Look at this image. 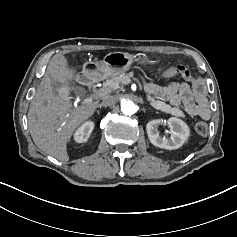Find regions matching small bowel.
Wrapping results in <instances>:
<instances>
[{
    "label": "small bowel",
    "mask_w": 237,
    "mask_h": 237,
    "mask_svg": "<svg viewBox=\"0 0 237 237\" xmlns=\"http://www.w3.org/2000/svg\"><path fill=\"white\" fill-rule=\"evenodd\" d=\"M164 75L172 77L176 73L174 69H169ZM146 89L157 98L169 101L174 107H183L192 117L209 119L211 116L207 86L201 78H193L191 87L185 83H173L166 87L148 83Z\"/></svg>",
    "instance_id": "small-bowel-1"
}]
</instances>
